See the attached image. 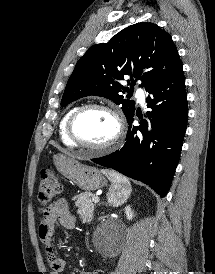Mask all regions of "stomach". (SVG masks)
I'll return each mask as SVG.
<instances>
[{"instance_id": "0dacf381", "label": "stomach", "mask_w": 215, "mask_h": 274, "mask_svg": "<svg viewBox=\"0 0 215 274\" xmlns=\"http://www.w3.org/2000/svg\"><path fill=\"white\" fill-rule=\"evenodd\" d=\"M54 164L64 177L74 182L84 191L98 190L107 185L106 178L98 169L84 165L69 156L63 154L55 155ZM129 195L130 193H126L122 196L121 204L127 200Z\"/></svg>"}]
</instances>
